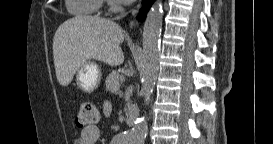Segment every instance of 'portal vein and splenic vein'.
Here are the masks:
<instances>
[{
  "instance_id": "1",
  "label": "portal vein and splenic vein",
  "mask_w": 273,
  "mask_h": 144,
  "mask_svg": "<svg viewBox=\"0 0 273 144\" xmlns=\"http://www.w3.org/2000/svg\"><path fill=\"white\" fill-rule=\"evenodd\" d=\"M125 80V77L121 75V81H124Z\"/></svg>"
}]
</instances>
